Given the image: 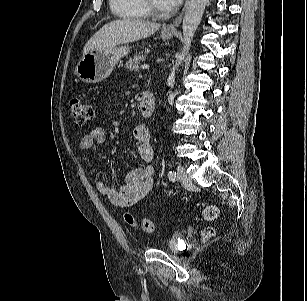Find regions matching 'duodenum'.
<instances>
[{"label": "duodenum", "mask_w": 307, "mask_h": 301, "mask_svg": "<svg viewBox=\"0 0 307 301\" xmlns=\"http://www.w3.org/2000/svg\"><path fill=\"white\" fill-rule=\"evenodd\" d=\"M155 109V97L150 91L140 93V112L144 117L152 116Z\"/></svg>", "instance_id": "duodenum-1"}]
</instances>
